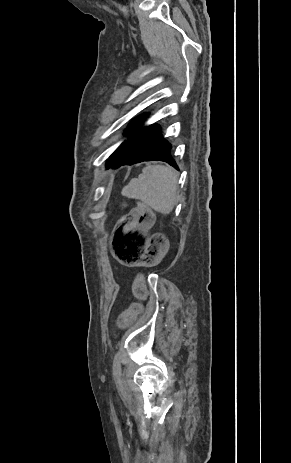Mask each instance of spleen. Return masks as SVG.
I'll use <instances>...</instances> for the list:
<instances>
[{"instance_id": "obj_1", "label": "spleen", "mask_w": 291, "mask_h": 463, "mask_svg": "<svg viewBox=\"0 0 291 463\" xmlns=\"http://www.w3.org/2000/svg\"><path fill=\"white\" fill-rule=\"evenodd\" d=\"M177 172L163 165H148L138 178L130 180L121 194L127 198L139 199L163 215L172 212L177 199Z\"/></svg>"}]
</instances>
